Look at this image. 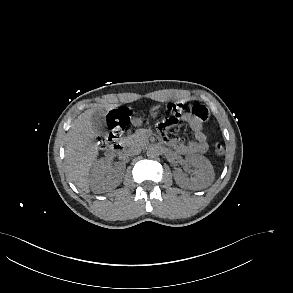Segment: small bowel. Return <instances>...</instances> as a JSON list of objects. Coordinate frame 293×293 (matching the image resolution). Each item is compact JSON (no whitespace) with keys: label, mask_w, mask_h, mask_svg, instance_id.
Wrapping results in <instances>:
<instances>
[{"label":"small bowel","mask_w":293,"mask_h":293,"mask_svg":"<svg viewBox=\"0 0 293 293\" xmlns=\"http://www.w3.org/2000/svg\"><path fill=\"white\" fill-rule=\"evenodd\" d=\"M181 119L190 125L194 140L185 144L180 139L175 138L168 141L169 146L177 153L183 155L205 153L208 149V142L203 130L202 121L191 114H184Z\"/></svg>","instance_id":"small-bowel-1"}]
</instances>
